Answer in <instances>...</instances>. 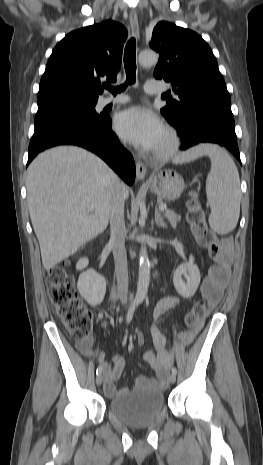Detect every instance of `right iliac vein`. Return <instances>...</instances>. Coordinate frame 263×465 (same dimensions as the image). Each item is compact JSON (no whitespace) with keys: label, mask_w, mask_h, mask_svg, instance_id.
<instances>
[{"label":"right iliac vein","mask_w":263,"mask_h":465,"mask_svg":"<svg viewBox=\"0 0 263 465\" xmlns=\"http://www.w3.org/2000/svg\"><path fill=\"white\" fill-rule=\"evenodd\" d=\"M102 382H103V376H102V374L97 375V377H96V384H97V386H100V385L102 384Z\"/></svg>","instance_id":"right-iliac-vein-1"}]
</instances>
